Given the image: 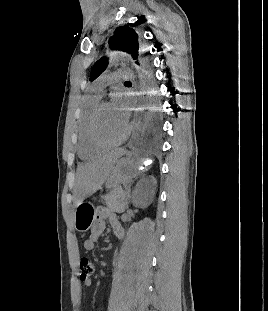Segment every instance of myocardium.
Returning a JSON list of instances; mask_svg holds the SVG:
<instances>
[{
    "mask_svg": "<svg viewBox=\"0 0 268 311\" xmlns=\"http://www.w3.org/2000/svg\"><path fill=\"white\" fill-rule=\"evenodd\" d=\"M108 102L103 101L98 103V105L95 107L91 118H90V123H89V134H90V138L93 142V144L101 149H109V148H113L116 147L120 144H122L130 135L131 132V127L130 125L127 124L125 132L123 133V135L115 140V141H106L104 140L100 133H99V118H100V114L101 111L103 109V107L105 105H107Z\"/></svg>",
    "mask_w": 268,
    "mask_h": 311,
    "instance_id": "obj_1",
    "label": "myocardium"
}]
</instances>
